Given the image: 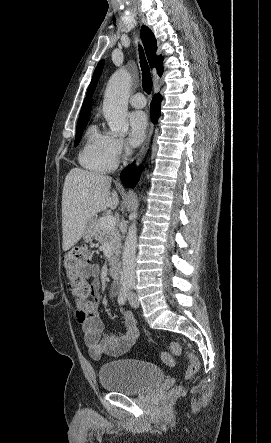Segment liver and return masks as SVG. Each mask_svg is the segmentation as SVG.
<instances>
[{
	"label": "liver",
	"mask_w": 271,
	"mask_h": 443,
	"mask_svg": "<svg viewBox=\"0 0 271 443\" xmlns=\"http://www.w3.org/2000/svg\"><path fill=\"white\" fill-rule=\"evenodd\" d=\"M112 178L94 172L73 168L67 174L62 196V247H73L84 235L91 218L107 208L116 210L119 204L117 192L110 194Z\"/></svg>",
	"instance_id": "6515ba94"
}]
</instances>
